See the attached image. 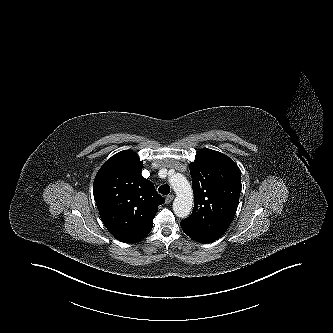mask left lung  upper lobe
<instances>
[{"label":"left lung upper lobe","instance_id":"obj_1","mask_svg":"<svg viewBox=\"0 0 333 333\" xmlns=\"http://www.w3.org/2000/svg\"><path fill=\"white\" fill-rule=\"evenodd\" d=\"M194 192L192 214L181 224L219 239L236 213L241 192V172L228 156L202 149L189 165Z\"/></svg>","mask_w":333,"mask_h":333}]
</instances>
